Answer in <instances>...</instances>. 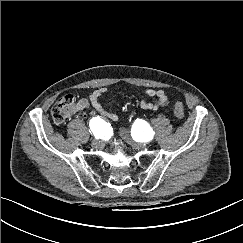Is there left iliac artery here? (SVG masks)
I'll use <instances>...</instances> for the list:
<instances>
[{
    "instance_id": "left-iliac-artery-1",
    "label": "left iliac artery",
    "mask_w": 243,
    "mask_h": 243,
    "mask_svg": "<svg viewBox=\"0 0 243 243\" xmlns=\"http://www.w3.org/2000/svg\"><path fill=\"white\" fill-rule=\"evenodd\" d=\"M139 120H137V122H138ZM143 120H141V122H142ZM131 134H132V137L135 139V140H137V141H140L141 140V138H144V136H145V139H147V140H150V139H152L153 138V134L149 131V132H147V133H142V132H140L139 130H138V128L136 127V125H134L133 127H132V130H131Z\"/></svg>"
}]
</instances>
